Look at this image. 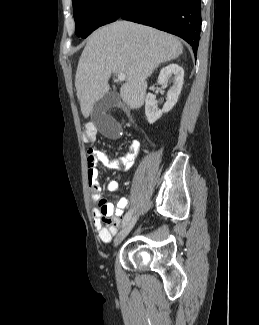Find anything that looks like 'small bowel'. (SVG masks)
Here are the masks:
<instances>
[{"label": "small bowel", "instance_id": "1", "mask_svg": "<svg viewBox=\"0 0 259 325\" xmlns=\"http://www.w3.org/2000/svg\"><path fill=\"white\" fill-rule=\"evenodd\" d=\"M139 150V142L132 140L129 145L128 152L119 161H112L104 152L97 149H89L87 152V176L88 186L90 190V198L96 207L93 210V223L97 230L98 237L103 243H109L116 234L117 229L122 221V216L128 201L122 197L116 205L107 202L102 198L101 187L98 183L99 165L105 168L116 169L119 167H130ZM121 188L118 180L112 179L107 184L109 192H117ZM104 222L106 226H104Z\"/></svg>", "mask_w": 259, "mask_h": 325}]
</instances>
